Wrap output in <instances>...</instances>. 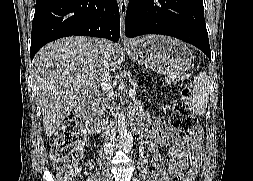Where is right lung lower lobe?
Listing matches in <instances>:
<instances>
[{
	"label": "right lung lower lobe",
	"instance_id": "98d812e1",
	"mask_svg": "<svg viewBox=\"0 0 253 181\" xmlns=\"http://www.w3.org/2000/svg\"><path fill=\"white\" fill-rule=\"evenodd\" d=\"M117 41L120 16L116 0H36L30 57L45 44L67 36Z\"/></svg>",
	"mask_w": 253,
	"mask_h": 181
}]
</instances>
